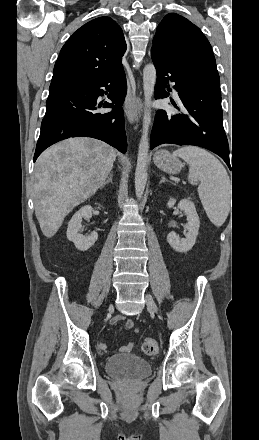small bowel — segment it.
<instances>
[{
    "label": "small bowel",
    "mask_w": 259,
    "mask_h": 440,
    "mask_svg": "<svg viewBox=\"0 0 259 440\" xmlns=\"http://www.w3.org/2000/svg\"><path fill=\"white\" fill-rule=\"evenodd\" d=\"M113 324L120 325L121 329L128 330L134 326V322L132 320H124L122 315H118L113 319ZM101 349L106 350L107 345L105 343L100 344ZM133 347L132 343H129L127 346H124L120 349V351H129Z\"/></svg>",
    "instance_id": "small-bowel-1"
}]
</instances>
